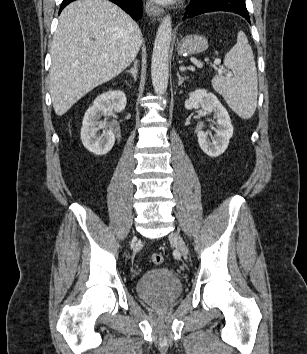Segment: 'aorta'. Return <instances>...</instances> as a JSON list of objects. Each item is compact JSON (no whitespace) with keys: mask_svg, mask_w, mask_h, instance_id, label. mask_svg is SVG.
Instances as JSON below:
<instances>
[{"mask_svg":"<svg viewBox=\"0 0 307 354\" xmlns=\"http://www.w3.org/2000/svg\"><path fill=\"white\" fill-rule=\"evenodd\" d=\"M171 39L172 19L166 15L156 34L151 61L152 84L157 95H163L167 90Z\"/></svg>","mask_w":307,"mask_h":354,"instance_id":"aorta-1","label":"aorta"}]
</instances>
